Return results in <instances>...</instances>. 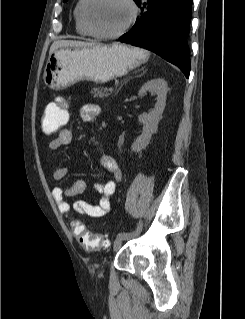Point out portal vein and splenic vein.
<instances>
[{
  "label": "portal vein and splenic vein",
  "mask_w": 245,
  "mask_h": 319,
  "mask_svg": "<svg viewBox=\"0 0 245 319\" xmlns=\"http://www.w3.org/2000/svg\"><path fill=\"white\" fill-rule=\"evenodd\" d=\"M113 90H114L113 87H109V88H108V91H109V92H113Z\"/></svg>",
  "instance_id": "portal-vein-and-splenic-vein-1"
}]
</instances>
